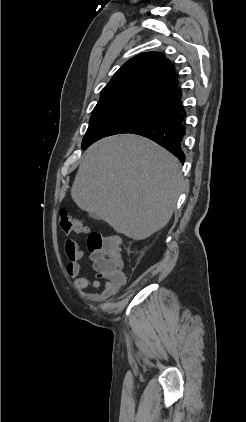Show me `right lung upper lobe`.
Wrapping results in <instances>:
<instances>
[{
    "label": "right lung upper lobe",
    "mask_w": 246,
    "mask_h": 422,
    "mask_svg": "<svg viewBox=\"0 0 246 422\" xmlns=\"http://www.w3.org/2000/svg\"><path fill=\"white\" fill-rule=\"evenodd\" d=\"M174 65L164 54L147 52L128 60L102 89L96 106L161 108L181 98Z\"/></svg>",
    "instance_id": "1"
}]
</instances>
